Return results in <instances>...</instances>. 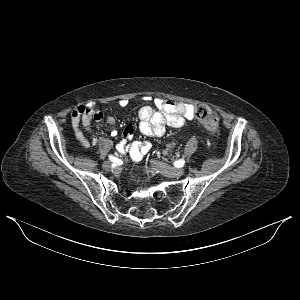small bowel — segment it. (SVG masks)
Wrapping results in <instances>:
<instances>
[{"instance_id": "1", "label": "small bowel", "mask_w": 300, "mask_h": 300, "mask_svg": "<svg viewBox=\"0 0 300 300\" xmlns=\"http://www.w3.org/2000/svg\"><path fill=\"white\" fill-rule=\"evenodd\" d=\"M154 107H142L138 113L140 133L146 137H158L165 133L167 127L178 128L184 125L186 120L194 117V105L189 103H175L162 98L153 100ZM128 100L121 99L119 105L125 107ZM105 120L109 126L116 124L115 117L105 115L98 110L94 103L80 105L71 114V124L74 129L77 140L85 147L99 143L102 139L98 136H92L90 139L85 136L80 125L82 124L87 131H91L92 121ZM113 137L117 136V132L111 133ZM134 128L127 125L123 132L122 138L117 145L119 152H128L135 161H140L146 155L151 144L148 141H132Z\"/></svg>"}]
</instances>
